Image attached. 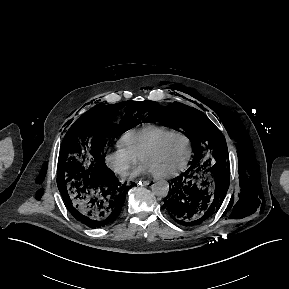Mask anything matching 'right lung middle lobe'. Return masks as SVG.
Returning a JSON list of instances; mask_svg holds the SVG:
<instances>
[{"label": "right lung middle lobe", "mask_w": 289, "mask_h": 289, "mask_svg": "<svg viewBox=\"0 0 289 289\" xmlns=\"http://www.w3.org/2000/svg\"><path fill=\"white\" fill-rule=\"evenodd\" d=\"M141 102L99 104L78 118L67 131L58 159L57 185L64 190L88 169L105 165L104 149L109 137H117L140 123ZM125 115L119 125H112L120 109Z\"/></svg>", "instance_id": "1"}]
</instances>
